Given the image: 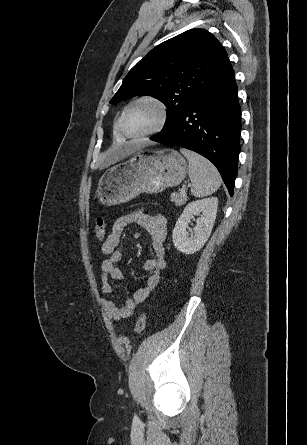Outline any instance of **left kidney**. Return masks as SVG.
<instances>
[{
	"instance_id": "5707ae66",
	"label": "left kidney",
	"mask_w": 307,
	"mask_h": 445,
	"mask_svg": "<svg viewBox=\"0 0 307 445\" xmlns=\"http://www.w3.org/2000/svg\"><path fill=\"white\" fill-rule=\"evenodd\" d=\"M217 206L218 198L216 196L193 200L185 206L172 233L173 243L178 251L185 253V255H193V253L202 249L211 235ZM194 214H199V218H196L198 225L193 231V237H189L187 229H189L188 225L191 223V218H194Z\"/></svg>"
}]
</instances>
